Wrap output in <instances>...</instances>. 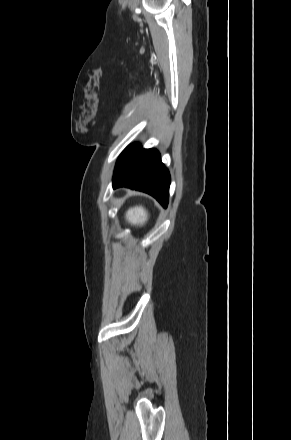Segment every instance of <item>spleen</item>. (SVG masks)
Returning a JSON list of instances; mask_svg holds the SVG:
<instances>
[{"mask_svg":"<svg viewBox=\"0 0 291 440\" xmlns=\"http://www.w3.org/2000/svg\"><path fill=\"white\" fill-rule=\"evenodd\" d=\"M125 218L131 225L142 226L148 220V213L142 206H135L126 212Z\"/></svg>","mask_w":291,"mask_h":440,"instance_id":"3e777b00","label":"spleen"}]
</instances>
